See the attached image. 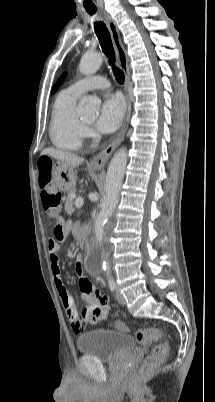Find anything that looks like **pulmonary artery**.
<instances>
[{"label":"pulmonary artery","mask_w":215,"mask_h":402,"mask_svg":"<svg viewBox=\"0 0 215 402\" xmlns=\"http://www.w3.org/2000/svg\"><path fill=\"white\" fill-rule=\"evenodd\" d=\"M109 85L110 83L105 77L95 75L76 81L75 83L71 84L68 89L78 95H81L89 90L107 88Z\"/></svg>","instance_id":"e3ab8cb5"}]
</instances>
